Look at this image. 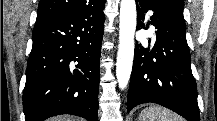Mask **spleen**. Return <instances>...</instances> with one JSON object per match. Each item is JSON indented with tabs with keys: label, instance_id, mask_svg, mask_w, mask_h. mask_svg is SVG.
<instances>
[{
	"label": "spleen",
	"instance_id": "3e777b00",
	"mask_svg": "<svg viewBox=\"0 0 217 121\" xmlns=\"http://www.w3.org/2000/svg\"><path fill=\"white\" fill-rule=\"evenodd\" d=\"M140 121H182L177 115L160 106H150L144 109Z\"/></svg>",
	"mask_w": 217,
	"mask_h": 121
}]
</instances>
